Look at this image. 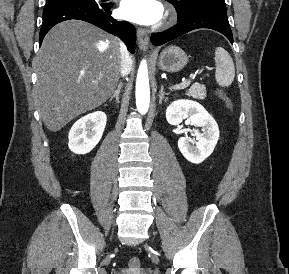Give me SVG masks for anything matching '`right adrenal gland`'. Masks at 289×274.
<instances>
[{
	"label": "right adrenal gland",
	"mask_w": 289,
	"mask_h": 274,
	"mask_svg": "<svg viewBox=\"0 0 289 274\" xmlns=\"http://www.w3.org/2000/svg\"><path fill=\"white\" fill-rule=\"evenodd\" d=\"M121 89H122V83L120 82L119 85L117 86V89L114 91L113 95L110 97L109 102H111L113 100V98H115L116 102L120 103L119 102V93H120Z\"/></svg>",
	"instance_id": "1"
}]
</instances>
